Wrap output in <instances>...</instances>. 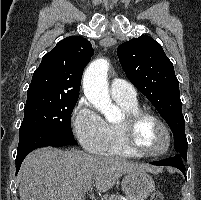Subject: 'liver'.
Segmentation results:
<instances>
[{
  "mask_svg": "<svg viewBox=\"0 0 201 200\" xmlns=\"http://www.w3.org/2000/svg\"><path fill=\"white\" fill-rule=\"evenodd\" d=\"M135 171L151 168L122 158L43 147L23 161L19 196L20 200H85L84 189L93 180L97 191L107 192L122 175Z\"/></svg>",
  "mask_w": 201,
  "mask_h": 200,
  "instance_id": "6515ba94",
  "label": "liver"
}]
</instances>
